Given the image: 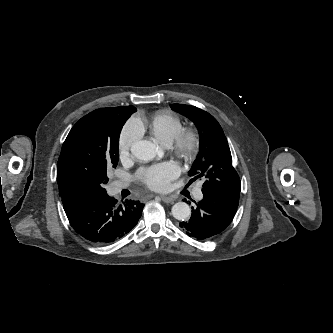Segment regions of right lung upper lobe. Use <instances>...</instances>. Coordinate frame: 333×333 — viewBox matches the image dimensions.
I'll return each mask as SVG.
<instances>
[{
    "label": "right lung upper lobe",
    "mask_w": 333,
    "mask_h": 333,
    "mask_svg": "<svg viewBox=\"0 0 333 333\" xmlns=\"http://www.w3.org/2000/svg\"><path fill=\"white\" fill-rule=\"evenodd\" d=\"M58 186H59V191H60V196L62 198V203L65 204V203H70V202H74V201H77L76 199L72 198L63 188L62 186L60 185V183H58Z\"/></svg>",
    "instance_id": "cb5924a9"
}]
</instances>
